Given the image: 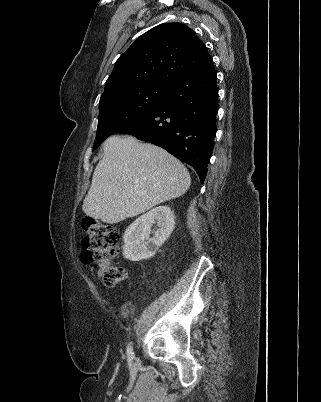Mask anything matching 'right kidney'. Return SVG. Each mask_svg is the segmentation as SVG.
<instances>
[{"mask_svg":"<svg viewBox=\"0 0 321 402\" xmlns=\"http://www.w3.org/2000/svg\"><path fill=\"white\" fill-rule=\"evenodd\" d=\"M155 220L158 229L150 238ZM174 226L175 217L168 206H158L138 217L124 233V257L134 262L150 259L170 236Z\"/></svg>","mask_w":321,"mask_h":402,"instance_id":"right-kidney-1","label":"right kidney"}]
</instances>
